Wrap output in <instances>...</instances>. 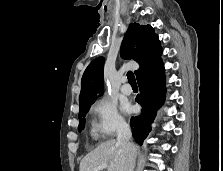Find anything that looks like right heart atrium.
Wrapping results in <instances>:
<instances>
[{
	"mask_svg": "<svg viewBox=\"0 0 223 171\" xmlns=\"http://www.w3.org/2000/svg\"><path fill=\"white\" fill-rule=\"evenodd\" d=\"M93 131L101 138H110L127 128V123L115 103L103 98L91 107Z\"/></svg>",
	"mask_w": 223,
	"mask_h": 171,
	"instance_id": "1",
	"label": "right heart atrium"
}]
</instances>
